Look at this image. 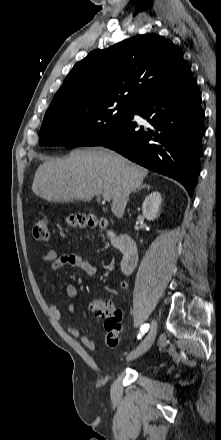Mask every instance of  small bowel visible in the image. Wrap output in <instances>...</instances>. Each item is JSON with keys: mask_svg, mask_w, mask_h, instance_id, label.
<instances>
[{"mask_svg": "<svg viewBox=\"0 0 221 440\" xmlns=\"http://www.w3.org/2000/svg\"><path fill=\"white\" fill-rule=\"evenodd\" d=\"M40 263L47 264L52 270H57L66 266H71L81 269L85 275L94 276L96 274V266L90 260L84 259L77 254H62L58 255L54 249L47 250L41 257ZM127 286L126 282L121 283V287L125 288ZM65 294L69 298H75L78 295V290L76 286L72 283L65 285ZM48 310L52 317L60 322L62 320V313L59 308L53 304H48ZM74 311V304L69 305V312ZM68 333L74 338H80L81 343L90 350H95L97 348L96 342L88 336L81 335L80 330L77 327H69Z\"/></svg>", "mask_w": 221, "mask_h": 440, "instance_id": "small-bowel-1", "label": "small bowel"}]
</instances>
